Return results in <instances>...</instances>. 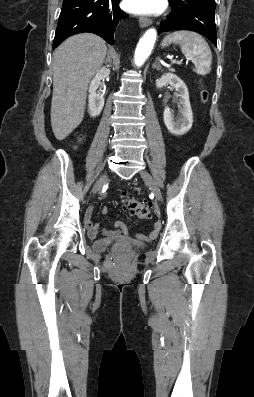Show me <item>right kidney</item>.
I'll return each mask as SVG.
<instances>
[{
  "label": "right kidney",
  "mask_w": 254,
  "mask_h": 397,
  "mask_svg": "<svg viewBox=\"0 0 254 397\" xmlns=\"http://www.w3.org/2000/svg\"><path fill=\"white\" fill-rule=\"evenodd\" d=\"M110 75V69L106 67H102L92 79L89 87V97H88V106L89 113L92 117L98 116L103 107H104V97L97 94L96 90L100 85V81L102 79L107 78Z\"/></svg>",
  "instance_id": "obj_1"
}]
</instances>
